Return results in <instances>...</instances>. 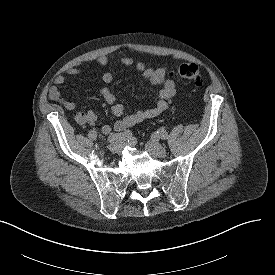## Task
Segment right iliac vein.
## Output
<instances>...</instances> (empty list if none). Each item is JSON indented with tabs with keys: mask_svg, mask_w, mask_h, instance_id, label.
<instances>
[{
	"mask_svg": "<svg viewBox=\"0 0 275 275\" xmlns=\"http://www.w3.org/2000/svg\"><path fill=\"white\" fill-rule=\"evenodd\" d=\"M109 150L113 153H117L121 150V144L113 143L108 146Z\"/></svg>",
	"mask_w": 275,
	"mask_h": 275,
	"instance_id": "1",
	"label": "right iliac vein"
}]
</instances>
